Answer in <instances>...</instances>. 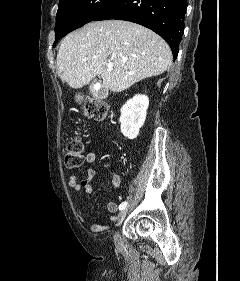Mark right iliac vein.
I'll return each instance as SVG.
<instances>
[{
    "instance_id": "63e3f726",
    "label": "right iliac vein",
    "mask_w": 240,
    "mask_h": 281,
    "mask_svg": "<svg viewBox=\"0 0 240 281\" xmlns=\"http://www.w3.org/2000/svg\"><path fill=\"white\" fill-rule=\"evenodd\" d=\"M127 213H128V208H125V209L120 211V213L118 214L117 226L121 225V223L123 222V220L126 217ZM114 242H115V244L117 246H121L122 245V240H121L119 232H116L114 234Z\"/></svg>"
}]
</instances>
